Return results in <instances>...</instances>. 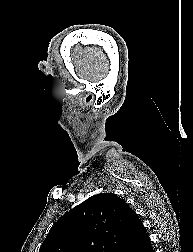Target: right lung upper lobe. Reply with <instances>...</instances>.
<instances>
[{"label": "right lung upper lobe", "instance_id": "right-lung-upper-lobe-1", "mask_svg": "<svg viewBox=\"0 0 193 252\" xmlns=\"http://www.w3.org/2000/svg\"><path fill=\"white\" fill-rule=\"evenodd\" d=\"M145 228L113 193L94 195L61 217L39 252H129Z\"/></svg>", "mask_w": 193, "mask_h": 252}]
</instances>
